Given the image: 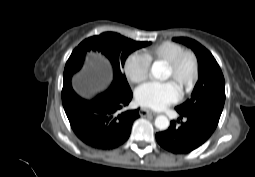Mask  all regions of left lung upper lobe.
Wrapping results in <instances>:
<instances>
[{"mask_svg": "<svg viewBox=\"0 0 255 177\" xmlns=\"http://www.w3.org/2000/svg\"><path fill=\"white\" fill-rule=\"evenodd\" d=\"M173 40L190 47L199 62V78L191 98L177 106V112L219 120L225 102V80L218 63L213 55L195 40L185 37H176Z\"/></svg>", "mask_w": 255, "mask_h": 177, "instance_id": "obj_1", "label": "left lung upper lobe"}]
</instances>
